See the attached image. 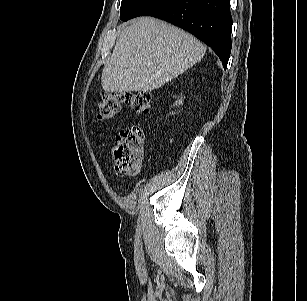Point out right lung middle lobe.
Listing matches in <instances>:
<instances>
[{
    "mask_svg": "<svg viewBox=\"0 0 307 301\" xmlns=\"http://www.w3.org/2000/svg\"><path fill=\"white\" fill-rule=\"evenodd\" d=\"M160 1L161 0H122L120 19L122 21H127L137 17Z\"/></svg>",
    "mask_w": 307,
    "mask_h": 301,
    "instance_id": "dd1d6c3e",
    "label": "right lung middle lobe"
}]
</instances>
